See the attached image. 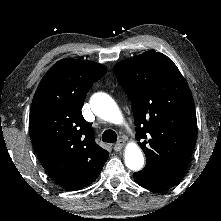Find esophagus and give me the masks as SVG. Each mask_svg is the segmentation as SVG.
<instances>
[{
    "mask_svg": "<svg viewBox=\"0 0 221 221\" xmlns=\"http://www.w3.org/2000/svg\"><path fill=\"white\" fill-rule=\"evenodd\" d=\"M125 146V141L123 139H120L115 145L114 150L120 151Z\"/></svg>",
    "mask_w": 221,
    "mask_h": 221,
    "instance_id": "1",
    "label": "esophagus"
}]
</instances>
